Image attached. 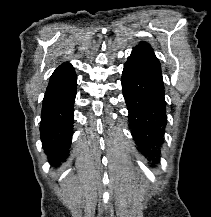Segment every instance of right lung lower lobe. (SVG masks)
<instances>
[{
  "label": "right lung lower lobe",
  "mask_w": 211,
  "mask_h": 217,
  "mask_svg": "<svg viewBox=\"0 0 211 217\" xmlns=\"http://www.w3.org/2000/svg\"><path fill=\"white\" fill-rule=\"evenodd\" d=\"M77 76L47 87L42 105L40 134L48 160L56 167L69 156Z\"/></svg>",
  "instance_id": "98d812e1"
}]
</instances>
